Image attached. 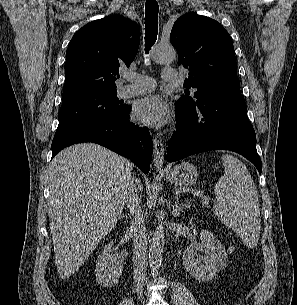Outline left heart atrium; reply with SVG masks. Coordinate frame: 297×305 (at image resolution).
Here are the masks:
<instances>
[{"instance_id": "39dd6f15", "label": "left heart atrium", "mask_w": 297, "mask_h": 305, "mask_svg": "<svg viewBox=\"0 0 297 305\" xmlns=\"http://www.w3.org/2000/svg\"><path fill=\"white\" fill-rule=\"evenodd\" d=\"M135 118L150 127H162L169 122V109L158 95L138 101L134 107Z\"/></svg>"}]
</instances>
